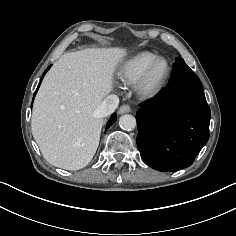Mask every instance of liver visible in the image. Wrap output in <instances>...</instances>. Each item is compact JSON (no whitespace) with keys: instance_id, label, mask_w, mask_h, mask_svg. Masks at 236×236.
Masks as SVG:
<instances>
[{"instance_id":"6515ba94","label":"liver","mask_w":236,"mask_h":236,"mask_svg":"<svg viewBox=\"0 0 236 236\" xmlns=\"http://www.w3.org/2000/svg\"><path fill=\"white\" fill-rule=\"evenodd\" d=\"M124 54L120 48L66 53L46 74L31 128L50 164L79 170L92 160L104 122L97 109L112 89L113 70Z\"/></svg>"}]
</instances>
